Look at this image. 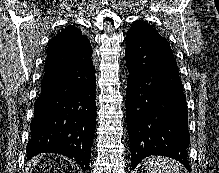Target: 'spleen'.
Returning a JSON list of instances; mask_svg holds the SVG:
<instances>
[{
    "mask_svg": "<svg viewBox=\"0 0 219 173\" xmlns=\"http://www.w3.org/2000/svg\"><path fill=\"white\" fill-rule=\"evenodd\" d=\"M146 173H181L179 165L164 157H149L143 160Z\"/></svg>",
    "mask_w": 219,
    "mask_h": 173,
    "instance_id": "obj_1",
    "label": "spleen"
}]
</instances>
